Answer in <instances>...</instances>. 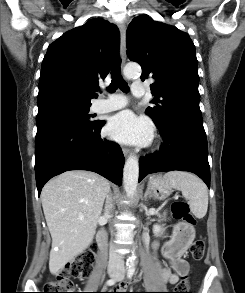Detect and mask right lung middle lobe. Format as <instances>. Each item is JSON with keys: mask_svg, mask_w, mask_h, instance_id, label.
I'll return each instance as SVG.
<instances>
[{"mask_svg": "<svg viewBox=\"0 0 245 293\" xmlns=\"http://www.w3.org/2000/svg\"><path fill=\"white\" fill-rule=\"evenodd\" d=\"M89 107L90 105L57 103L39 108L35 142L61 128L92 125L95 121L90 120Z\"/></svg>", "mask_w": 245, "mask_h": 293, "instance_id": "dd1d6c3e", "label": "right lung middle lobe"}]
</instances>
